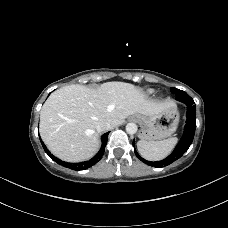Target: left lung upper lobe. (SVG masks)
Masks as SVG:
<instances>
[{
  "label": "left lung upper lobe",
  "instance_id": "1",
  "mask_svg": "<svg viewBox=\"0 0 228 228\" xmlns=\"http://www.w3.org/2000/svg\"><path fill=\"white\" fill-rule=\"evenodd\" d=\"M171 92H172L173 94H176V97H177V98H181V97H186V96H188V94H187L186 92H184V91H182V90H179V89H177V88H171Z\"/></svg>",
  "mask_w": 228,
  "mask_h": 228
}]
</instances>
